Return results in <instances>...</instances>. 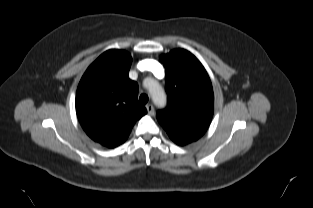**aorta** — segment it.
<instances>
[{
    "label": "aorta",
    "mask_w": 313,
    "mask_h": 208,
    "mask_svg": "<svg viewBox=\"0 0 313 208\" xmlns=\"http://www.w3.org/2000/svg\"><path fill=\"white\" fill-rule=\"evenodd\" d=\"M153 100L158 103L160 102L161 105L165 104L166 102V95L163 90L158 89L155 92H152Z\"/></svg>",
    "instance_id": "obj_1"
}]
</instances>
